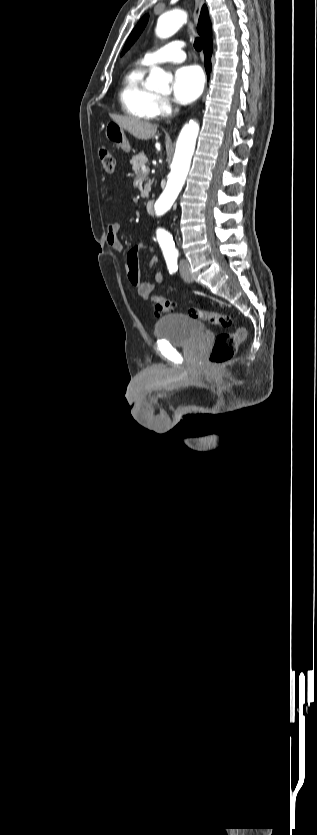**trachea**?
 <instances>
[{"label": "trachea", "instance_id": "obj_1", "mask_svg": "<svg viewBox=\"0 0 317 835\" xmlns=\"http://www.w3.org/2000/svg\"><path fill=\"white\" fill-rule=\"evenodd\" d=\"M202 46H203L202 40L199 37H195L194 48L196 49V51H198V52L201 51Z\"/></svg>", "mask_w": 317, "mask_h": 835}]
</instances>
